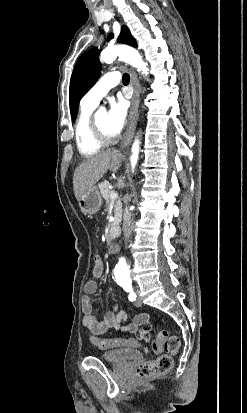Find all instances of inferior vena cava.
I'll return each instance as SVG.
<instances>
[{"label":"inferior vena cava","instance_id":"602c4592","mask_svg":"<svg viewBox=\"0 0 247 413\" xmlns=\"http://www.w3.org/2000/svg\"><path fill=\"white\" fill-rule=\"evenodd\" d=\"M128 200H130L129 194H126V196H124V202L128 204ZM130 225H131V213H129V207H125L124 213H123V233H124L125 243H127L128 239H130L131 237Z\"/></svg>","mask_w":247,"mask_h":413}]
</instances>
